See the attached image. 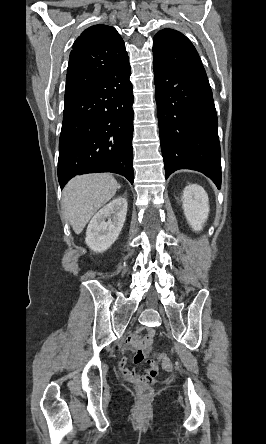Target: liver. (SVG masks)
I'll use <instances>...</instances> for the list:
<instances>
[{"mask_svg": "<svg viewBox=\"0 0 266 444\" xmlns=\"http://www.w3.org/2000/svg\"><path fill=\"white\" fill-rule=\"evenodd\" d=\"M120 185L110 174L74 177L63 191V209L74 232L80 234L92 216L116 193Z\"/></svg>", "mask_w": 266, "mask_h": 444, "instance_id": "liver-1", "label": "liver"}]
</instances>
